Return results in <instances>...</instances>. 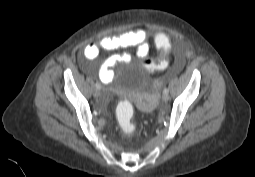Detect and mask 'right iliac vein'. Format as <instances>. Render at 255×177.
<instances>
[{"mask_svg": "<svg viewBox=\"0 0 255 177\" xmlns=\"http://www.w3.org/2000/svg\"><path fill=\"white\" fill-rule=\"evenodd\" d=\"M99 95H100L99 89H95L94 92H93V96H94L95 98H97Z\"/></svg>", "mask_w": 255, "mask_h": 177, "instance_id": "63e3f726", "label": "right iliac vein"}]
</instances>
